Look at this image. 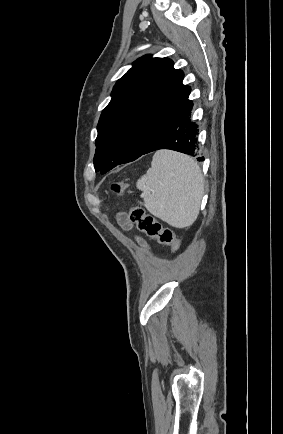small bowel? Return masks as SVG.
<instances>
[{"label": "small bowel", "mask_w": 283, "mask_h": 434, "mask_svg": "<svg viewBox=\"0 0 283 434\" xmlns=\"http://www.w3.org/2000/svg\"><path fill=\"white\" fill-rule=\"evenodd\" d=\"M118 223L121 225V227L127 230L131 229L132 227V223L124 213H120L118 215ZM137 239L142 245H146V242L142 238L138 237Z\"/></svg>", "instance_id": "small-bowel-1"}]
</instances>
